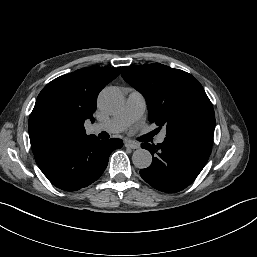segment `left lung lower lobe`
<instances>
[{
    "label": "left lung lower lobe",
    "mask_w": 257,
    "mask_h": 257,
    "mask_svg": "<svg viewBox=\"0 0 257 257\" xmlns=\"http://www.w3.org/2000/svg\"><path fill=\"white\" fill-rule=\"evenodd\" d=\"M153 157L140 171L141 177L157 190L175 193L190 185L204 168L212 148V136L183 139L165 138L163 143H143Z\"/></svg>",
    "instance_id": "obj_1"
}]
</instances>
